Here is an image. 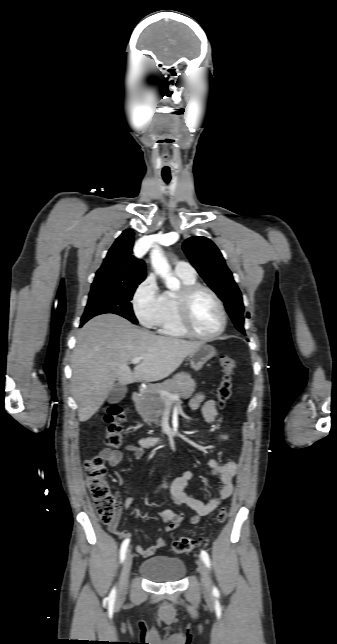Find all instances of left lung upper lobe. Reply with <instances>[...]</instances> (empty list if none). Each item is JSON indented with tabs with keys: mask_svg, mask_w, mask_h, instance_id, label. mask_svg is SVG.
I'll return each instance as SVG.
<instances>
[{
	"mask_svg": "<svg viewBox=\"0 0 337 644\" xmlns=\"http://www.w3.org/2000/svg\"><path fill=\"white\" fill-rule=\"evenodd\" d=\"M183 250L207 285L224 302L236 328L245 334L242 295L216 245L206 237H191L184 241Z\"/></svg>",
	"mask_w": 337,
	"mask_h": 644,
	"instance_id": "obj_1",
	"label": "left lung upper lobe"
}]
</instances>
